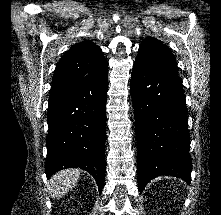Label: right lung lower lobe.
<instances>
[{"label":"right lung lower lobe","instance_id":"1","mask_svg":"<svg viewBox=\"0 0 221 215\" xmlns=\"http://www.w3.org/2000/svg\"><path fill=\"white\" fill-rule=\"evenodd\" d=\"M108 71L69 91L49 98L48 177L65 168L91 173L99 192L104 186Z\"/></svg>","mask_w":221,"mask_h":215}]
</instances>
